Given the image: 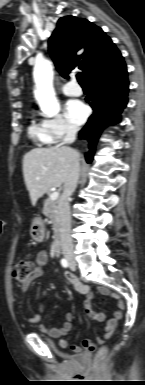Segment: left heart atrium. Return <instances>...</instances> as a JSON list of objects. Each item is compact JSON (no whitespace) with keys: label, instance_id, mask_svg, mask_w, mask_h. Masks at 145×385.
Returning <instances> with one entry per match:
<instances>
[{"label":"left heart atrium","instance_id":"obj_1","mask_svg":"<svg viewBox=\"0 0 145 385\" xmlns=\"http://www.w3.org/2000/svg\"><path fill=\"white\" fill-rule=\"evenodd\" d=\"M88 113L87 107L80 100H70L66 105V115L75 124H82Z\"/></svg>","mask_w":145,"mask_h":385}]
</instances>
